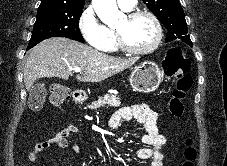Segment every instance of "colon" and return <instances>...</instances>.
<instances>
[{
    "label": "colon",
    "mask_w": 227,
    "mask_h": 166,
    "mask_svg": "<svg viewBox=\"0 0 227 166\" xmlns=\"http://www.w3.org/2000/svg\"><path fill=\"white\" fill-rule=\"evenodd\" d=\"M165 74L169 79L177 80V87L169 100V112L174 117H182L184 113V98L193 83L190 74V63L186 53L179 47L171 48L164 63ZM50 102L54 106H61L67 99L69 92L59 83H52L49 87ZM183 166H194L196 150L191 140L186 141Z\"/></svg>",
    "instance_id": "5ec220e1"
}]
</instances>
